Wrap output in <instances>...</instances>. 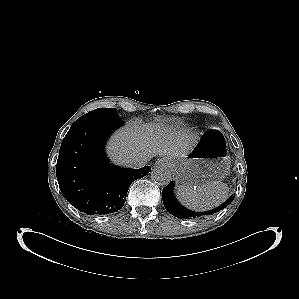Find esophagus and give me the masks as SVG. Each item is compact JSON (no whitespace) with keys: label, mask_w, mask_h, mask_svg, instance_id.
I'll return each instance as SVG.
<instances>
[{"label":"esophagus","mask_w":299,"mask_h":299,"mask_svg":"<svg viewBox=\"0 0 299 299\" xmlns=\"http://www.w3.org/2000/svg\"><path fill=\"white\" fill-rule=\"evenodd\" d=\"M155 164L168 166L170 164V161L167 158H161L158 159Z\"/></svg>","instance_id":"34e87169"}]
</instances>
